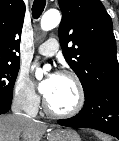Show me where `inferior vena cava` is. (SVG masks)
Masks as SVG:
<instances>
[{"label": "inferior vena cava", "instance_id": "602c4592", "mask_svg": "<svg viewBox=\"0 0 119 141\" xmlns=\"http://www.w3.org/2000/svg\"><path fill=\"white\" fill-rule=\"evenodd\" d=\"M22 105H23V101L20 100L19 98H15L13 100L12 106H11L12 112L15 115H20L21 114V110H22Z\"/></svg>", "mask_w": 119, "mask_h": 141}]
</instances>
